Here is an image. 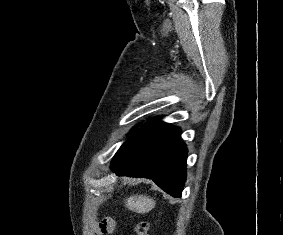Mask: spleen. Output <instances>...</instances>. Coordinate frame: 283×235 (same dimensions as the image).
<instances>
[{"label": "spleen", "mask_w": 283, "mask_h": 235, "mask_svg": "<svg viewBox=\"0 0 283 235\" xmlns=\"http://www.w3.org/2000/svg\"><path fill=\"white\" fill-rule=\"evenodd\" d=\"M155 200L146 195H133L125 200V206L137 213H147L155 207Z\"/></svg>", "instance_id": "1"}]
</instances>
